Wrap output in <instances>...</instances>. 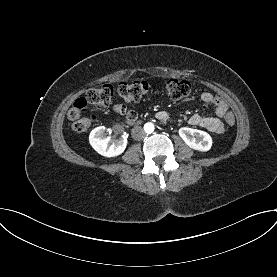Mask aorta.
I'll list each match as a JSON object with an SVG mask.
<instances>
[{
  "label": "aorta",
  "instance_id": "aorta-1",
  "mask_svg": "<svg viewBox=\"0 0 277 277\" xmlns=\"http://www.w3.org/2000/svg\"><path fill=\"white\" fill-rule=\"evenodd\" d=\"M144 130H145V132L146 133H148V134H151V133H153V131H154V125H153V123H146L145 125H144Z\"/></svg>",
  "mask_w": 277,
  "mask_h": 277
}]
</instances>
